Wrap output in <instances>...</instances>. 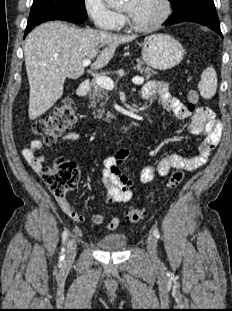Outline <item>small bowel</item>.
<instances>
[{"label":"small bowel","instance_id":"small-bowel-1","mask_svg":"<svg viewBox=\"0 0 232 311\" xmlns=\"http://www.w3.org/2000/svg\"><path fill=\"white\" fill-rule=\"evenodd\" d=\"M141 99L149 101L153 98L169 112L180 119L191 117L188 131L193 135H204L198 155L184 157L179 154H170L157 163L146 166L140 175L142 184L152 183L156 176L166 177L174 169L194 171L205 164L210 153L217 147L221 137V124L214 117L212 111L205 107H199L194 112L189 111L184 104L174 97L164 81L151 80L146 82L141 89ZM81 139L77 131H70L56 140L54 143H43L41 140H32L28 146L22 149V155L35 173L43 176V162L45 155H38L37 151L42 148L50 149L61 142H75ZM130 147L120 148L115 154L108 156L103 162L101 183L106 190V203H127L133 196L132 188L135 181L125 171V164L130 155ZM56 201L62 211L71 219L83 222L84 216L77 212L65 196L55 195ZM106 217L103 214L91 216V222L95 225L102 224ZM120 218L114 216L106 225V229L112 231L118 227Z\"/></svg>","mask_w":232,"mask_h":311}]
</instances>
